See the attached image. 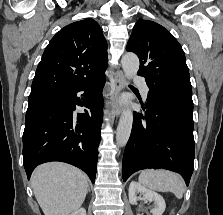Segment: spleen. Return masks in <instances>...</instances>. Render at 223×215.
<instances>
[{
    "label": "spleen",
    "mask_w": 223,
    "mask_h": 215,
    "mask_svg": "<svg viewBox=\"0 0 223 215\" xmlns=\"http://www.w3.org/2000/svg\"><path fill=\"white\" fill-rule=\"evenodd\" d=\"M139 183L155 191H172L176 197H183L185 183L178 173L167 169H144L139 175Z\"/></svg>",
    "instance_id": "3e777b00"
}]
</instances>
